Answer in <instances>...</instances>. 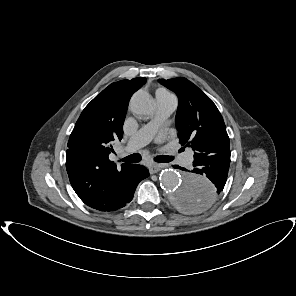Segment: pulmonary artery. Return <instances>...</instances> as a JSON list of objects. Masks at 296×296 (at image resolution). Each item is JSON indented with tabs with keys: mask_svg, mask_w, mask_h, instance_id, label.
Returning a JSON list of instances; mask_svg holds the SVG:
<instances>
[{
	"mask_svg": "<svg viewBox=\"0 0 296 296\" xmlns=\"http://www.w3.org/2000/svg\"><path fill=\"white\" fill-rule=\"evenodd\" d=\"M177 107V98L170 93L156 92V113L153 119L143 125L128 141L126 151H134L146 145L155 135L160 124L169 117ZM193 162L192 151H187L181 163L190 166Z\"/></svg>",
	"mask_w": 296,
	"mask_h": 296,
	"instance_id": "obj_1",
	"label": "pulmonary artery"
}]
</instances>
